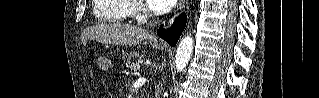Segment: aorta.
Segmentation results:
<instances>
[{
  "mask_svg": "<svg viewBox=\"0 0 319 98\" xmlns=\"http://www.w3.org/2000/svg\"><path fill=\"white\" fill-rule=\"evenodd\" d=\"M193 44H194V40L191 35L185 36L180 41L177 48L176 59H175L177 72H182L186 68L192 55Z\"/></svg>",
  "mask_w": 319,
  "mask_h": 98,
  "instance_id": "1",
  "label": "aorta"
}]
</instances>
